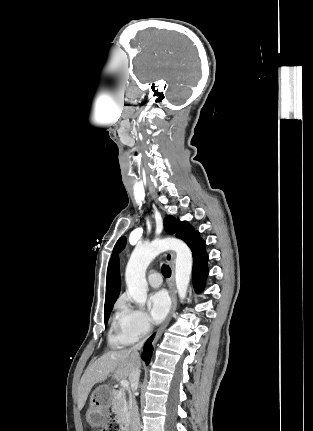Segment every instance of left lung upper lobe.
Instances as JSON below:
<instances>
[{
	"instance_id": "obj_1",
	"label": "left lung upper lobe",
	"mask_w": 313,
	"mask_h": 431,
	"mask_svg": "<svg viewBox=\"0 0 313 431\" xmlns=\"http://www.w3.org/2000/svg\"><path fill=\"white\" fill-rule=\"evenodd\" d=\"M165 229L171 234H175L177 238L182 239L187 245L194 239L197 235V231L187 222L180 221L173 216H168L164 220ZM126 245V238L121 237L113 250V253L120 252L124 249Z\"/></svg>"
}]
</instances>
